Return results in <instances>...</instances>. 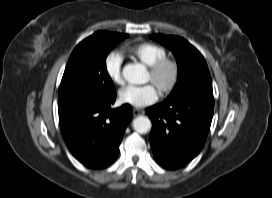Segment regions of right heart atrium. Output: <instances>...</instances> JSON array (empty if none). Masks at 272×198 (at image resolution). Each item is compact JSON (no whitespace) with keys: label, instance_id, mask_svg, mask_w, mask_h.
<instances>
[{"label":"right heart atrium","instance_id":"1","mask_svg":"<svg viewBox=\"0 0 272 198\" xmlns=\"http://www.w3.org/2000/svg\"><path fill=\"white\" fill-rule=\"evenodd\" d=\"M123 56L118 51H111L107 54L104 60V69L107 77L116 85H122L123 73H122Z\"/></svg>","mask_w":272,"mask_h":198}]
</instances>
